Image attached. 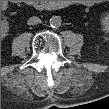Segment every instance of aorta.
<instances>
[{
	"instance_id": "obj_1",
	"label": "aorta",
	"mask_w": 109,
	"mask_h": 109,
	"mask_svg": "<svg viewBox=\"0 0 109 109\" xmlns=\"http://www.w3.org/2000/svg\"><path fill=\"white\" fill-rule=\"evenodd\" d=\"M49 22L51 27L57 28L61 25L62 20L60 16H52Z\"/></svg>"
}]
</instances>
